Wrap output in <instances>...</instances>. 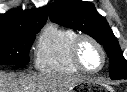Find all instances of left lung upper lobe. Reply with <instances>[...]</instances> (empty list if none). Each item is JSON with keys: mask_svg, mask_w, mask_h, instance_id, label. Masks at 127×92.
<instances>
[{"mask_svg": "<svg viewBox=\"0 0 127 92\" xmlns=\"http://www.w3.org/2000/svg\"><path fill=\"white\" fill-rule=\"evenodd\" d=\"M51 21L80 30L103 45L110 58L111 79H127V61L106 19L91 2L81 0H56L49 6Z\"/></svg>", "mask_w": 127, "mask_h": 92, "instance_id": "obj_1", "label": "left lung upper lobe"}]
</instances>
